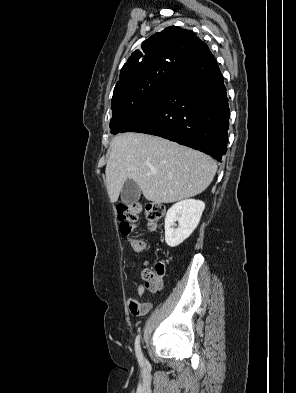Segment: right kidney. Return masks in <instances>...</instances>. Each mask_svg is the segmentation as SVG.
I'll list each match as a JSON object with an SVG mask.
<instances>
[{
  "label": "right kidney",
  "mask_w": 296,
  "mask_h": 393,
  "mask_svg": "<svg viewBox=\"0 0 296 393\" xmlns=\"http://www.w3.org/2000/svg\"><path fill=\"white\" fill-rule=\"evenodd\" d=\"M205 203L200 200L186 199L174 204L165 218V241L168 246L176 247L187 239L199 224ZM178 222V227L175 228Z\"/></svg>",
  "instance_id": "1"
}]
</instances>
